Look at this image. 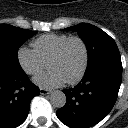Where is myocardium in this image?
Listing matches in <instances>:
<instances>
[{
  "label": "myocardium",
  "mask_w": 128,
  "mask_h": 128,
  "mask_svg": "<svg viewBox=\"0 0 128 128\" xmlns=\"http://www.w3.org/2000/svg\"><path fill=\"white\" fill-rule=\"evenodd\" d=\"M73 41H78L81 44V46L83 48V53H84V61H83V66H82L79 74L75 78L66 81V83L69 85H73V84H76L79 81H81L82 78L84 77V75L86 74L87 69H88L90 56H89V48H88L86 41L79 36H70L68 39H66L61 44V46L59 47L57 52L48 61V64H49L50 62L57 61V60L61 59L63 57L65 51H66V48Z\"/></svg>",
  "instance_id": "obj_1"
}]
</instances>
